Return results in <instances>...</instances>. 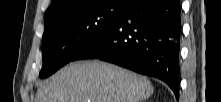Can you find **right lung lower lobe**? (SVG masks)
I'll list each match as a JSON object with an SVG mask.
<instances>
[{
	"label": "right lung lower lobe",
	"mask_w": 221,
	"mask_h": 102,
	"mask_svg": "<svg viewBox=\"0 0 221 102\" xmlns=\"http://www.w3.org/2000/svg\"><path fill=\"white\" fill-rule=\"evenodd\" d=\"M180 37L178 0H133L123 16L74 60L100 59L158 78L178 99Z\"/></svg>",
	"instance_id": "98d812e1"
}]
</instances>
